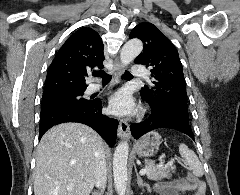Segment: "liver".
Returning a JSON list of instances; mask_svg holds the SVG:
<instances>
[{
	"instance_id": "obj_1",
	"label": "liver",
	"mask_w": 240,
	"mask_h": 195,
	"mask_svg": "<svg viewBox=\"0 0 240 195\" xmlns=\"http://www.w3.org/2000/svg\"><path fill=\"white\" fill-rule=\"evenodd\" d=\"M104 141L84 123H59L44 133L34 173L35 195H89Z\"/></svg>"
}]
</instances>
